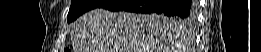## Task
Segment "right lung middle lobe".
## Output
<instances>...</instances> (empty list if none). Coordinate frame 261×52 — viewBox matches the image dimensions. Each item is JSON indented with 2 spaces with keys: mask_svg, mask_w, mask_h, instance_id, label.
<instances>
[{
  "mask_svg": "<svg viewBox=\"0 0 261 52\" xmlns=\"http://www.w3.org/2000/svg\"><path fill=\"white\" fill-rule=\"evenodd\" d=\"M108 0H72L71 7L67 16V22H72L77 17L82 15L83 13L94 9V8H99L102 5L106 4ZM164 17L161 18V20L174 24V25H183L186 26L187 23H190L193 19L191 17L190 19H181L178 17H173V16H166L163 15Z\"/></svg>",
  "mask_w": 261,
  "mask_h": 52,
  "instance_id": "1",
  "label": "right lung middle lobe"
}]
</instances>
